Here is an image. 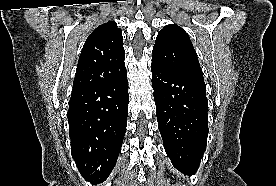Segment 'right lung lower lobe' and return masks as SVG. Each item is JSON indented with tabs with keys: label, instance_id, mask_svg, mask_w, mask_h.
<instances>
[{
	"label": "right lung lower lobe",
	"instance_id": "obj_1",
	"mask_svg": "<svg viewBox=\"0 0 276 186\" xmlns=\"http://www.w3.org/2000/svg\"><path fill=\"white\" fill-rule=\"evenodd\" d=\"M126 75L115 82L72 90L68 110L71 152L87 181H105L116 164L127 126Z\"/></svg>",
	"mask_w": 276,
	"mask_h": 186
}]
</instances>
